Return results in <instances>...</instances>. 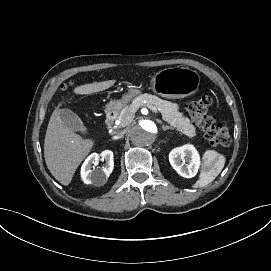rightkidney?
<instances>
[{
	"instance_id": "right-kidney-1",
	"label": "right kidney",
	"mask_w": 271,
	"mask_h": 271,
	"mask_svg": "<svg viewBox=\"0 0 271 271\" xmlns=\"http://www.w3.org/2000/svg\"><path fill=\"white\" fill-rule=\"evenodd\" d=\"M99 158L105 160V165L101 169H95V164ZM114 168V154L111 150H104L100 154H91L83 163L81 176L85 184L102 186L106 183Z\"/></svg>"
}]
</instances>
